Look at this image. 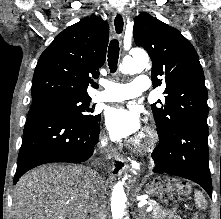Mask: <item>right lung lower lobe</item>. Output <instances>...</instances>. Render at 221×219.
I'll use <instances>...</instances> for the list:
<instances>
[{
  "label": "right lung lower lobe",
  "instance_id": "obj_1",
  "mask_svg": "<svg viewBox=\"0 0 221 219\" xmlns=\"http://www.w3.org/2000/svg\"><path fill=\"white\" fill-rule=\"evenodd\" d=\"M99 130V121L88 125L57 112L29 110L14 184L25 172L41 164L86 161L98 143Z\"/></svg>",
  "mask_w": 221,
  "mask_h": 219
}]
</instances>
